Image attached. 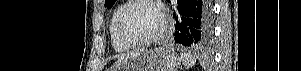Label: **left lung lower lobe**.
<instances>
[{"mask_svg":"<svg viewBox=\"0 0 301 71\" xmlns=\"http://www.w3.org/2000/svg\"><path fill=\"white\" fill-rule=\"evenodd\" d=\"M177 3L175 42L184 46H207L213 35L211 1L177 0Z\"/></svg>","mask_w":301,"mask_h":71,"instance_id":"0a47b994","label":"left lung lower lobe"}]
</instances>
